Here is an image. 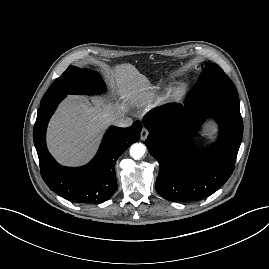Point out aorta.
<instances>
[{"mask_svg": "<svg viewBox=\"0 0 269 269\" xmlns=\"http://www.w3.org/2000/svg\"><path fill=\"white\" fill-rule=\"evenodd\" d=\"M145 152L146 146L142 143H134L130 147V156L135 160H139L140 158H142Z\"/></svg>", "mask_w": 269, "mask_h": 269, "instance_id": "1", "label": "aorta"}]
</instances>
